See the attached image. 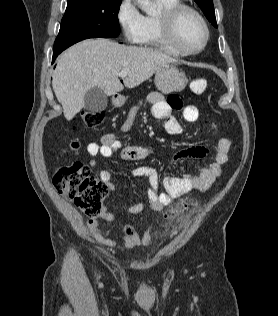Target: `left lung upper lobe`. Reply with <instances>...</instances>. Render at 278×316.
Listing matches in <instances>:
<instances>
[{"label": "left lung upper lobe", "instance_id": "obj_1", "mask_svg": "<svg viewBox=\"0 0 278 316\" xmlns=\"http://www.w3.org/2000/svg\"><path fill=\"white\" fill-rule=\"evenodd\" d=\"M199 7L202 9L203 13L207 19L212 23L214 27H217L213 0H194Z\"/></svg>", "mask_w": 278, "mask_h": 316}]
</instances>
